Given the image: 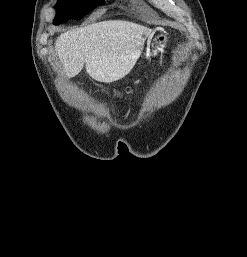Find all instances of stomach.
I'll use <instances>...</instances> for the list:
<instances>
[{
    "mask_svg": "<svg viewBox=\"0 0 247 257\" xmlns=\"http://www.w3.org/2000/svg\"><path fill=\"white\" fill-rule=\"evenodd\" d=\"M167 41V36L162 34L156 36L155 38H153V40L149 39L148 45H151L154 48L155 52L162 51L166 47Z\"/></svg>",
    "mask_w": 247,
    "mask_h": 257,
    "instance_id": "stomach-1",
    "label": "stomach"
}]
</instances>
